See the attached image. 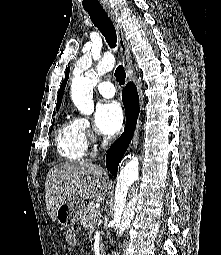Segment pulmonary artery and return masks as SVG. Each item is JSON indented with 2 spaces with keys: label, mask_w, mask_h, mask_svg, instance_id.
Returning a JSON list of instances; mask_svg holds the SVG:
<instances>
[{
  "label": "pulmonary artery",
  "mask_w": 221,
  "mask_h": 255,
  "mask_svg": "<svg viewBox=\"0 0 221 255\" xmlns=\"http://www.w3.org/2000/svg\"><path fill=\"white\" fill-rule=\"evenodd\" d=\"M98 91L105 98H112L115 95V88L109 81H103L99 83Z\"/></svg>",
  "instance_id": "obj_1"
}]
</instances>
